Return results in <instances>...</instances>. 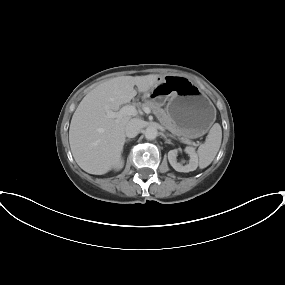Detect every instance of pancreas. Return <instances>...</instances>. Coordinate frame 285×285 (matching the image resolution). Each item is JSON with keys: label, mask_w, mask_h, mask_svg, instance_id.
Returning <instances> with one entry per match:
<instances>
[{"label": "pancreas", "mask_w": 285, "mask_h": 285, "mask_svg": "<svg viewBox=\"0 0 285 285\" xmlns=\"http://www.w3.org/2000/svg\"><path fill=\"white\" fill-rule=\"evenodd\" d=\"M143 108H149L152 110V112L155 114V116L158 118L160 123L168 129L171 133H173L176 136L186 138L185 134L173 123L171 117L167 114V112L162 109L158 104L146 101L142 104Z\"/></svg>", "instance_id": "cf45deb5"}]
</instances>
